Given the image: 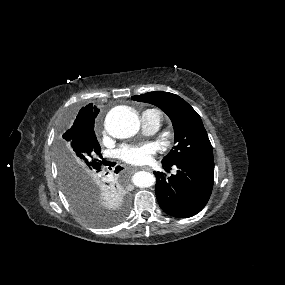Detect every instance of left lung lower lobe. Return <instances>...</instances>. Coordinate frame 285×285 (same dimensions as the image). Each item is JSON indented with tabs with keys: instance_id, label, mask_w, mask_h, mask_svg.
Segmentation results:
<instances>
[{
	"instance_id": "1",
	"label": "left lung lower lobe",
	"mask_w": 285,
	"mask_h": 285,
	"mask_svg": "<svg viewBox=\"0 0 285 285\" xmlns=\"http://www.w3.org/2000/svg\"><path fill=\"white\" fill-rule=\"evenodd\" d=\"M176 175L165 178L155 172L156 197L162 210L169 215L188 218L200 212L208 202L214 179V162H189L175 165ZM170 169L171 166L163 164Z\"/></svg>"
}]
</instances>
